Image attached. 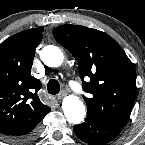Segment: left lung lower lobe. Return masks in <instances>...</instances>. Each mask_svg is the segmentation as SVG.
<instances>
[{"instance_id": "0a47b994", "label": "left lung lower lobe", "mask_w": 145, "mask_h": 145, "mask_svg": "<svg viewBox=\"0 0 145 145\" xmlns=\"http://www.w3.org/2000/svg\"><path fill=\"white\" fill-rule=\"evenodd\" d=\"M73 130L79 139L88 144L104 145L112 141L122 128L105 124L87 116L85 122L75 125Z\"/></svg>"}]
</instances>
